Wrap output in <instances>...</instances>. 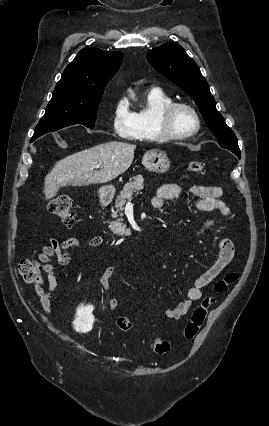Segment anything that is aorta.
<instances>
[{
	"label": "aorta",
	"instance_id": "1",
	"mask_svg": "<svg viewBox=\"0 0 269 426\" xmlns=\"http://www.w3.org/2000/svg\"><path fill=\"white\" fill-rule=\"evenodd\" d=\"M131 96H132V97H134V94H133V93H131Z\"/></svg>",
	"mask_w": 269,
	"mask_h": 426
}]
</instances>
